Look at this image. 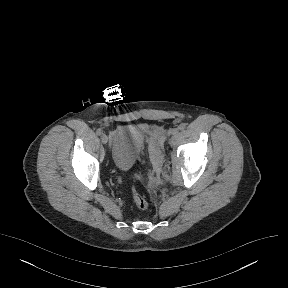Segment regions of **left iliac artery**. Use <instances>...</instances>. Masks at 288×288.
<instances>
[{
	"mask_svg": "<svg viewBox=\"0 0 288 288\" xmlns=\"http://www.w3.org/2000/svg\"><path fill=\"white\" fill-rule=\"evenodd\" d=\"M178 128H179L180 130H184V129L186 128V123H181V124L178 126Z\"/></svg>",
	"mask_w": 288,
	"mask_h": 288,
	"instance_id": "obj_1",
	"label": "left iliac artery"
}]
</instances>
